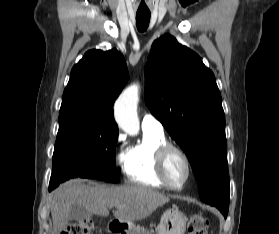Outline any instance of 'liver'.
Instances as JSON below:
<instances>
[{
  "instance_id": "6515ba94",
  "label": "liver",
  "mask_w": 279,
  "mask_h": 234,
  "mask_svg": "<svg viewBox=\"0 0 279 234\" xmlns=\"http://www.w3.org/2000/svg\"><path fill=\"white\" fill-rule=\"evenodd\" d=\"M170 198L143 185L107 186L99 183L83 184L74 179L60 185L53 193L51 216L52 234H60L68 223L74 204L85 207L91 214L109 215V208L116 206L114 217L121 223H131L151 215Z\"/></svg>"
}]
</instances>
